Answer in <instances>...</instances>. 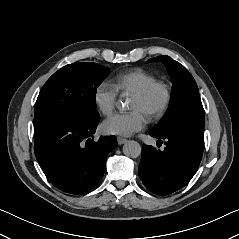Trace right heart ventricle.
Instances as JSON below:
<instances>
[{"label":"right heart ventricle","mask_w":239,"mask_h":239,"mask_svg":"<svg viewBox=\"0 0 239 239\" xmlns=\"http://www.w3.org/2000/svg\"><path fill=\"white\" fill-rule=\"evenodd\" d=\"M151 82H153L151 76L144 72L136 71L121 77L117 82V88L129 96H133Z\"/></svg>","instance_id":"obj_1"}]
</instances>
